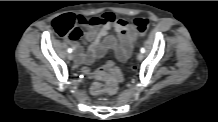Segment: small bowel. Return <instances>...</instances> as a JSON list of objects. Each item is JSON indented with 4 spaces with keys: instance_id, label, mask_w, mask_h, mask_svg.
Returning a JSON list of instances; mask_svg holds the SVG:
<instances>
[{
    "instance_id": "small-bowel-1",
    "label": "small bowel",
    "mask_w": 218,
    "mask_h": 122,
    "mask_svg": "<svg viewBox=\"0 0 218 122\" xmlns=\"http://www.w3.org/2000/svg\"><path fill=\"white\" fill-rule=\"evenodd\" d=\"M78 23L85 27V39L89 42L86 52L82 45L72 40L77 52V61L82 64H91L102 58L109 50H113L119 61H126L135 45L137 34L134 26L125 20L119 19L117 11H108L101 15L85 18L77 15ZM113 31L115 35H110Z\"/></svg>"
}]
</instances>
